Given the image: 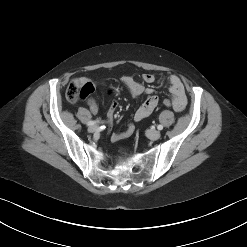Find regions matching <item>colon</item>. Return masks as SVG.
<instances>
[{
	"label": "colon",
	"mask_w": 247,
	"mask_h": 247,
	"mask_svg": "<svg viewBox=\"0 0 247 247\" xmlns=\"http://www.w3.org/2000/svg\"><path fill=\"white\" fill-rule=\"evenodd\" d=\"M93 90L90 84L80 85L76 82H72L66 89V99L71 103H75L86 98ZM163 105L167 108H174V103L171 99H164Z\"/></svg>",
	"instance_id": "obj_1"
}]
</instances>
